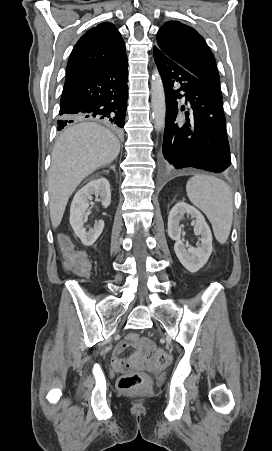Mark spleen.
<instances>
[{
    "mask_svg": "<svg viewBox=\"0 0 272 451\" xmlns=\"http://www.w3.org/2000/svg\"><path fill=\"white\" fill-rule=\"evenodd\" d=\"M187 196L211 222L217 241L225 243L233 222L230 186L213 176H193L186 184Z\"/></svg>",
    "mask_w": 272,
    "mask_h": 451,
    "instance_id": "spleen-1",
    "label": "spleen"
}]
</instances>
